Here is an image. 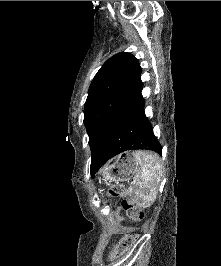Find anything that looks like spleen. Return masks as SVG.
<instances>
[{
  "label": "spleen",
  "mask_w": 221,
  "mask_h": 266,
  "mask_svg": "<svg viewBox=\"0 0 221 266\" xmlns=\"http://www.w3.org/2000/svg\"><path fill=\"white\" fill-rule=\"evenodd\" d=\"M134 157L140 170L132 182L129 192H134L138 202L143 204L153 199L162 181V165L157 155L150 152L136 151Z\"/></svg>",
  "instance_id": "1"
}]
</instances>
